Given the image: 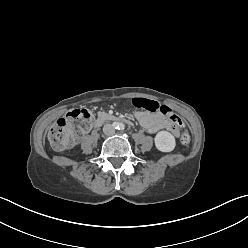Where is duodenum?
I'll return each mask as SVG.
<instances>
[{
    "instance_id": "obj_1",
    "label": "duodenum",
    "mask_w": 248,
    "mask_h": 248,
    "mask_svg": "<svg viewBox=\"0 0 248 248\" xmlns=\"http://www.w3.org/2000/svg\"><path fill=\"white\" fill-rule=\"evenodd\" d=\"M106 121L122 122L131 125V121L125 117L104 114L92 122V127L97 128Z\"/></svg>"
}]
</instances>
